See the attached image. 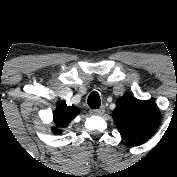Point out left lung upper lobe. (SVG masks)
Here are the masks:
<instances>
[{
  "instance_id": "obj_1",
  "label": "left lung upper lobe",
  "mask_w": 177,
  "mask_h": 177,
  "mask_svg": "<svg viewBox=\"0 0 177 177\" xmlns=\"http://www.w3.org/2000/svg\"><path fill=\"white\" fill-rule=\"evenodd\" d=\"M112 116L121 136L131 145L146 142L155 133L161 120L154 101H140L128 94L117 100Z\"/></svg>"
}]
</instances>
